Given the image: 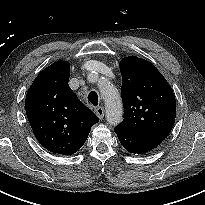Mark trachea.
Returning a JSON list of instances; mask_svg holds the SVG:
<instances>
[{
	"instance_id": "3493384b",
	"label": "trachea",
	"mask_w": 205,
	"mask_h": 205,
	"mask_svg": "<svg viewBox=\"0 0 205 205\" xmlns=\"http://www.w3.org/2000/svg\"><path fill=\"white\" fill-rule=\"evenodd\" d=\"M88 99L94 106L98 105V95L95 91L89 93Z\"/></svg>"
}]
</instances>
